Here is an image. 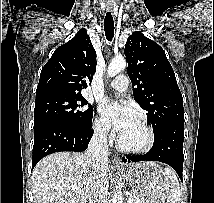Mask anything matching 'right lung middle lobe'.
Returning <instances> with one entry per match:
<instances>
[{
  "label": "right lung middle lobe",
  "mask_w": 214,
  "mask_h": 203,
  "mask_svg": "<svg viewBox=\"0 0 214 203\" xmlns=\"http://www.w3.org/2000/svg\"><path fill=\"white\" fill-rule=\"evenodd\" d=\"M87 104L81 94L55 93L36 98L34 127L46 122H63L89 128L92 126L93 108L84 109Z\"/></svg>",
  "instance_id": "dd1d6c3e"
}]
</instances>
